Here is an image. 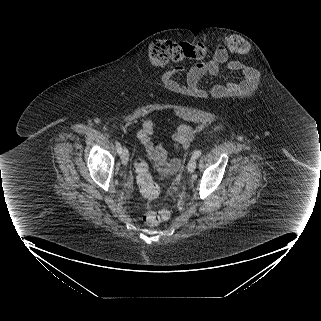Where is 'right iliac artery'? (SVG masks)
Here are the masks:
<instances>
[{"label": "right iliac artery", "mask_w": 321, "mask_h": 321, "mask_svg": "<svg viewBox=\"0 0 321 321\" xmlns=\"http://www.w3.org/2000/svg\"><path fill=\"white\" fill-rule=\"evenodd\" d=\"M115 144H116V149H117L118 154H121L122 147H121L120 143L118 141H116Z\"/></svg>", "instance_id": "1"}]
</instances>
